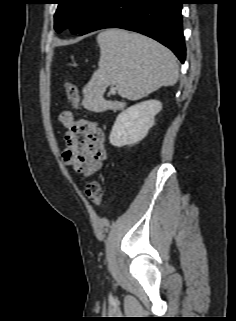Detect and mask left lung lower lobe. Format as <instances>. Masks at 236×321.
<instances>
[{
  "instance_id": "0a47b994",
  "label": "left lung lower lobe",
  "mask_w": 236,
  "mask_h": 321,
  "mask_svg": "<svg viewBox=\"0 0 236 321\" xmlns=\"http://www.w3.org/2000/svg\"><path fill=\"white\" fill-rule=\"evenodd\" d=\"M184 0H106L79 35L121 28L149 36L171 49L184 63L181 6Z\"/></svg>"
}]
</instances>
